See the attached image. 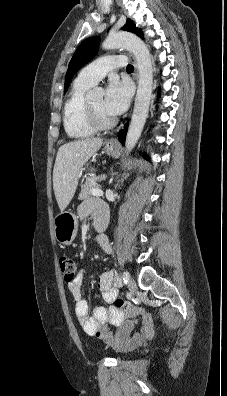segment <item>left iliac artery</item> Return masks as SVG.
<instances>
[{"mask_svg": "<svg viewBox=\"0 0 227 396\" xmlns=\"http://www.w3.org/2000/svg\"><path fill=\"white\" fill-rule=\"evenodd\" d=\"M122 278H123L124 283L126 284L130 278L129 272H127V271L123 272Z\"/></svg>", "mask_w": 227, "mask_h": 396, "instance_id": "44dca946", "label": "left iliac artery"}]
</instances>
